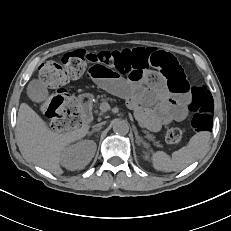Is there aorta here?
Listing matches in <instances>:
<instances>
[{
    "mask_svg": "<svg viewBox=\"0 0 231 231\" xmlns=\"http://www.w3.org/2000/svg\"><path fill=\"white\" fill-rule=\"evenodd\" d=\"M112 126L116 134L126 135L129 132V124L124 120L115 119Z\"/></svg>",
    "mask_w": 231,
    "mask_h": 231,
    "instance_id": "1",
    "label": "aorta"
}]
</instances>
